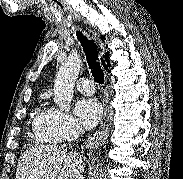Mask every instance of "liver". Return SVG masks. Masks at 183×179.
I'll return each instance as SVG.
<instances>
[{
    "label": "liver",
    "instance_id": "1",
    "mask_svg": "<svg viewBox=\"0 0 183 179\" xmlns=\"http://www.w3.org/2000/svg\"><path fill=\"white\" fill-rule=\"evenodd\" d=\"M80 160L62 146L35 145L21 155L16 179H74Z\"/></svg>",
    "mask_w": 183,
    "mask_h": 179
}]
</instances>
